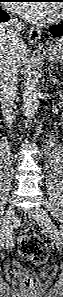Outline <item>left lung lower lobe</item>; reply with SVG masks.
<instances>
[{
  "label": "left lung lower lobe",
  "instance_id": "obj_1",
  "mask_svg": "<svg viewBox=\"0 0 63 297\" xmlns=\"http://www.w3.org/2000/svg\"><path fill=\"white\" fill-rule=\"evenodd\" d=\"M52 37L63 36V23L56 25L50 29Z\"/></svg>",
  "mask_w": 63,
  "mask_h": 297
}]
</instances>
